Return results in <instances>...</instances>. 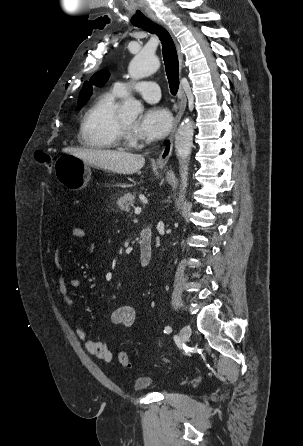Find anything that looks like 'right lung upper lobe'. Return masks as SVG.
Wrapping results in <instances>:
<instances>
[{
	"mask_svg": "<svg viewBox=\"0 0 303 446\" xmlns=\"http://www.w3.org/2000/svg\"><path fill=\"white\" fill-rule=\"evenodd\" d=\"M108 78L109 72L102 70L94 74L89 82L86 81L79 95V105H83L88 101L92 95V86H102L107 82Z\"/></svg>",
	"mask_w": 303,
	"mask_h": 446,
	"instance_id": "1",
	"label": "right lung upper lobe"
}]
</instances>
